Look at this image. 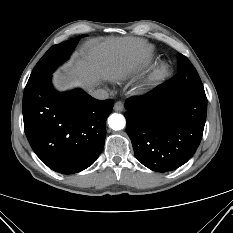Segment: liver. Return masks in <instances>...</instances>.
<instances>
[{
  "mask_svg": "<svg viewBox=\"0 0 233 233\" xmlns=\"http://www.w3.org/2000/svg\"><path fill=\"white\" fill-rule=\"evenodd\" d=\"M151 50L152 46L142 38L93 40L85 46L80 56L72 59L63 72L54 75V85L59 90L82 86L91 91L101 79H126L146 64Z\"/></svg>",
  "mask_w": 233,
  "mask_h": 233,
  "instance_id": "obj_1",
  "label": "liver"
}]
</instances>
